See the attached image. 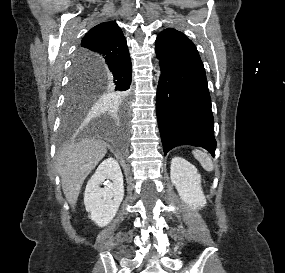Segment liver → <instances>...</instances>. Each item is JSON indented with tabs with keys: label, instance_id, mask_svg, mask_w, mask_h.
Segmentation results:
<instances>
[{
	"label": "liver",
	"instance_id": "obj_1",
	"mask_svg": "<svg viewBox=\"0 0 285 273\" xmlns=\"http://www.w3.org/2000/svg\"><path fill=\"white\" fill-rule=\"evenodd\" d=\"M106 152L107 144L96 139L73 142L59 152L56 168L61 177L63 193L72 208L76 205L85 178Z\"/></svg>",
	"mask_w": 285,
	"mask_h": 273
}]
</instances>
